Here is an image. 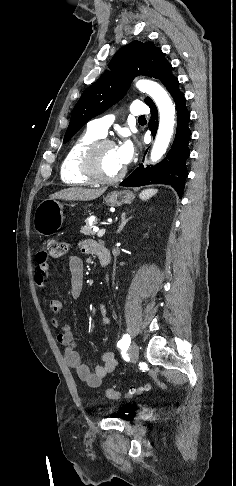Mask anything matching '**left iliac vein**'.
<instances>
[{"mask_svg":"<svg viewBox=\"0 0 236 486\" xmlns=\"http://www.w3.org/2000/svg\"><path fill=\"white\" fill-rule=\"evenodd\" d=\"M128 355L132 363H137L139 358V349L136 343H133L128 350Z\"/></svg>","mask_w":236,"mask_h":486,"instance_id":"obj_1","label":"left iliac vein"}]
</instances>
